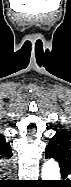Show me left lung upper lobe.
I'll list each match as a JSON object with an SVG mask.
<instances>
[{
  "label": "left lung upper lobe",
  "instance_id": "left-lung-upper-lobe-1",
  "mask_svg": "<svg viewBox=\"0 0 71 187\" xmlns=\"http://www.w3.org/2000/svg\"><path fill=\"white\" fill-rule=\"evenodd\" d=\"M46 153L55 155L63 166L71 170V132L57 130L47 145Z\"/></svg>",
  "mask_w": 71,
  "mask_h": 187
}]
</instances>
